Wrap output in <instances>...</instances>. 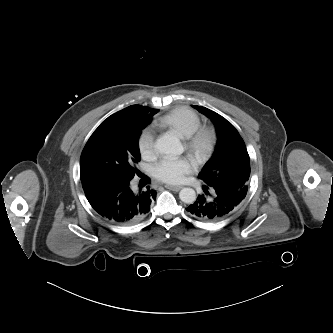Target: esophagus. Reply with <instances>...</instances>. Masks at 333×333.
<instances>
[{"label": "esophagus", "mask_w": 333, "mask_h": 333, "mask_svg": "<svg viewBox=\"0 0 333 333\" xmlns=\"http://www.w3.org/2000/svg\"><path fill=\"white\" fill-rule=\"evenodd\" d=\"M167 189L172 190V191H179L180 189H182V186H171V185H166L165 186Z\"/></svg>", "instance_id": "obj_1"}]
</instances>
